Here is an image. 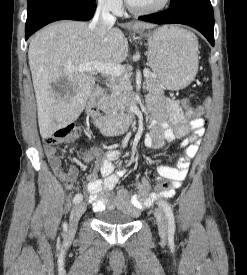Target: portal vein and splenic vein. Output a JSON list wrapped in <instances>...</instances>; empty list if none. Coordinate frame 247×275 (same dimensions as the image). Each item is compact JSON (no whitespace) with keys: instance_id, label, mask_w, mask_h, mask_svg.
<instances>
[{"instance_id":"1","label":"portal vein and splenic vein","mask_w":247,"mask_h":275,"mask_svg":"<svg viewBox=\"0 0 247 275\" xmlns=\"http://www.w3.org/2000/svg\"><path fill=\"white\" fill-rule=\"evenodd\" d=\"M68 71L74 72V71H80V72H98L104 75H111V76H121L125 68L122 65L119 64H103L100 62H91L87 64H82L79 66H68ZM144 77L150 76V71L148 69L143 70Z\"/></svg>"}]
</instances>
